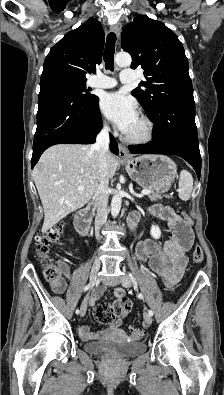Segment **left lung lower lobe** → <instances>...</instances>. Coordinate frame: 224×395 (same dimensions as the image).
Here are the masks:
<instances>
[{
	"mask_svg": "<svg viewBox=\"0 0 224 395\" xmlns=\"http://www.w3.org/2000/svg\"><path fill=\"white\" fill-rule=\"evenodd\" d=\"M155 124L154 141L148 145L130 146L131 153L174 154L185 159L201 173L195 102L181 99L164 104L155 114L148 116Z\"/></svg>",
	"mask_w": 224,
	"mask_h": 395,
	"instance_id": "1",
	"label": "left lung lower lobe"
}]
</instances>
